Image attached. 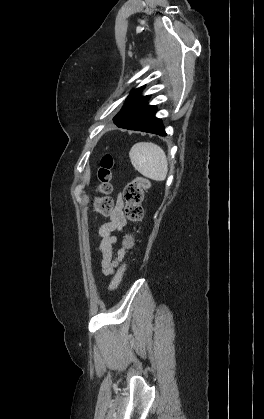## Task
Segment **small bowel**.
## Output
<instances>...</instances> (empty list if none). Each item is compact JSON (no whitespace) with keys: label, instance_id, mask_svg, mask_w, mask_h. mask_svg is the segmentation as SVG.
<instances>
[{"label":"small bowel","instance_id":"c3829d8e","mask_svg":"<svg viewBox=\"0 0 264 419\" xmlns=\"http://www.w3.org/2000/svg\"><path fill=\"white\" fill-rule=\"evenodd\" d=\"M123 207L124 202L119 195L110 213V221L103 224L98 232L100 268L105 276L115 274L117 267L123 262L126 254V251L122 248L115 252L114 247L118 239L116 235H113L114 231H122L127 224Z\"/></svg>","mask_w":264,"mask_h":419}]
</instances>
